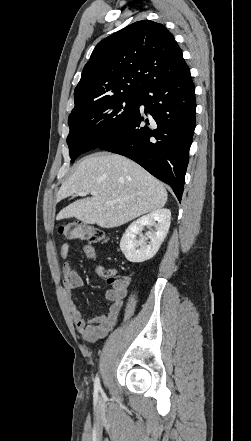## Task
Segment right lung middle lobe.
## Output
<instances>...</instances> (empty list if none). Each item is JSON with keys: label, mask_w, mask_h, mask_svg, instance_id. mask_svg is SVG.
I'll list each match as a JSON object with an SVG mask.
<instances>
[{"label": "right lung middle lobe", "mask_w": 251, "mask_h": 441, "mask_svg": "<svg viewBox=\"0 0 251 441\" xmlns=\"http://www.w3.org/2000/svg\"><path fill=\"white\" fill-rule=\"evenodd\" d=\"M139 102L140 95H119L86 103L71 113L67 137L71 162L119 133L138 110Z\"/></svg>", "instance_id": "1"}]
</instances>
